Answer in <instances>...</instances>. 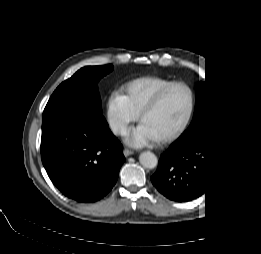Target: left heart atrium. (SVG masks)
Masks as SVG:
<instances>
[{"mask_svg": "<svg viewBox=\"0 0 261 254\" xmlns=\"http://www.w3.org/2000/svg\"><path fill=\"white\" fill-rule=\"evenodd\" d=\"M156 137L143 125L129 130L125 135V142L133 147L149 146Z\"/></svg>", "mask_w": 261, "mask_h": 254, "instance_id": "39dd6f15", "label": "left heart atrium"}]
</instances>
